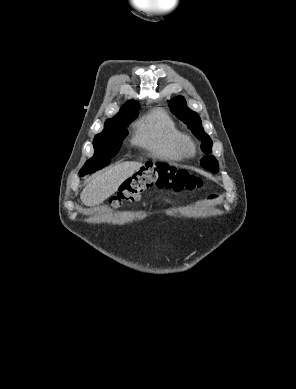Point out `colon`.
Here are the masks:
<instances>
[{
	"label": "colon",
	"instance_id": "1",
	"mask_svg": "<svg viewBox=\"0 0 296 389\" xmlns=\"http://www.w3.org/2000/svg\"><path fill=\"white\" fill-rule=\"evenodd\" d=\"M202 185L201 178L191 175L186 170L164 163L147 162L123 182L117 196L110 204L118 208L124 203H134L145 190L151 187L181 192L199 189Z\"/></svg>",
	"mask_w": 296,
	"mask_h": 389
}]
</instances>
